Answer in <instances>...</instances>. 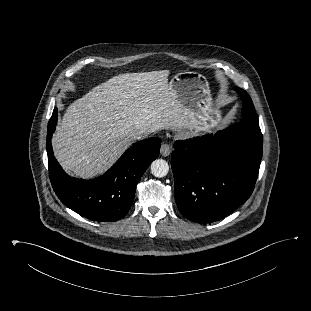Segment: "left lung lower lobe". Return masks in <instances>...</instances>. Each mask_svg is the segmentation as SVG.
I'll use <instances>...</instances> for the list:
<instances>
[{"instance_id": "left-lung-lower-lobe-1", "label": "left lung lower lobe", "mask_w": 311, "mask_h": 311, "mask_svg": "<svg viewBox=\"0 0 311 311\" xmlns=\"http://www.w3.org/2000/svg\"><path fill=\"white\" fill-rule=\"evenodd\" d=\"M262 147L258 123L245 118L215 135L176 141L171 167L181 214L210 223L235 211L254 190Z\"/></svg>"}]
</instances>
